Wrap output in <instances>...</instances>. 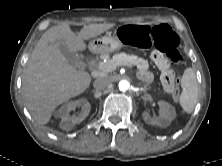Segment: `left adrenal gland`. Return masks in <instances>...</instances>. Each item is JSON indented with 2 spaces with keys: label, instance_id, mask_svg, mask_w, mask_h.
<instances>
[{
  "label": "left adrenal gland",
  "instance_id": "a2214340",
  "mask_svg": "<svg viewBox=\"0 0 222 166\" xmlns=\"http://www.w3.org/2000/svg\"><path fill=\"white\" fill-rule=\"evenodd\" d=\"M139 85H141L142 83H138ZM144 86H146V85H144Z\"/></svg>",
  "mask_w": 222,
  "mask_h": 166
}]
</instances>
